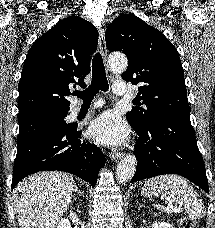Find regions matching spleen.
Returning <instances> with one entry per match:
<instances>
[{"label": "spleen", "instance_id": "obj_1", "mask_svg": "<svg viewBox=\"0 0 215 228\" xmlns=\"http://www.w3.org/2000/svg\"><path fill=\"white\" fill-rule=\"evenodd\" d=\"M141 194L146 198H151V196L170 198V202H175V204H180L185 208L190 220H199V218H204L206 214L200 196L185 178L176 176V174L151 178L145 182Z\"/></svg>", "mask_w": 215, "mask_h": 228}]
</instances>
